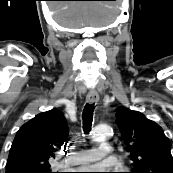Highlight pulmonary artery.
Returning a JSON list of instances; mask_svg holds the SVG:
<instances>
[{"instance_id":"obj_1","label":"pulmonary artery","mask_w":173,"mask_h":173,"mask_svg":"<svg viewBox=\"0 0 173 173\" xmlns=\"http://www.w3.org/2000/svg\"><path fill=\"white\" fill-rule=\"evenodd\" d=\"M111 153V145L106 142H102L98 148L83 149L74 152L69 158L63 160L62 164L65 166L87 165L97 162Z\"/></svg>"}]
</instances>
